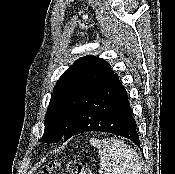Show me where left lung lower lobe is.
<instances>
[{
  "label": "left lung lower lobe",
  "mask_w": 175,
  "mask_h": 174,
  "mask_svg": "<svg viewBox=\"0 0 175 174\" xmlns=\"http://www.w3.org/2000/svg\"><path fill=\"white\" fill-rule=\"evenodd\" d=\"M136 127L127 91L113 73L78 102L63 139L81 132L102 131L126 137L140 148Z\"/></svg>",
  "instance_id": "1"
}]
</instances>
